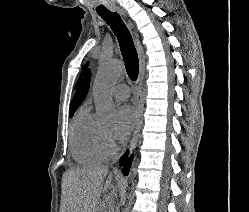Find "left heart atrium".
<instances>
[{"instance_id":"39dd6f15","label":"left heart atrium","mask_w":249,"mask_h":212,"mask_svg":"<svg viewBox=\"0 0 249 212\" xmlns=\"http://www.w3.org/2000/svg\"><path fill=\"white\" fill-rule=\"evenodd\" d=\"M137 122V113L131 105H123L116 112L114 138L118 142L125 140L133 131Z\"/></svg>"}]
</instances>
